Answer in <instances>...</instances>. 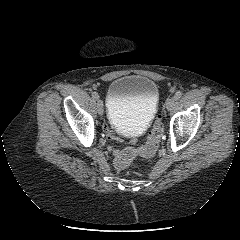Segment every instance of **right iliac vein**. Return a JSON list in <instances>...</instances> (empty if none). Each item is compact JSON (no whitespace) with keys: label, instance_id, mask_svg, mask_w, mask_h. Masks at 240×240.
Masks as SVG:
<instances>
[{"label":"right iliac vein","instance_id":"right-iliac-vein-1","mask_svg":"<svg viewBox=\"0 0 240 240\" xmlns=\"http://www.w3.org/2000/svg\"><path fill=\"white\" fill-rule=\"evenodd\" d=\"M97 111H98L100 116H103L104 107H103V101L102 100L97 101Z\"/></svg>","mask_w":240,"mask_h":240}]
</instances>
